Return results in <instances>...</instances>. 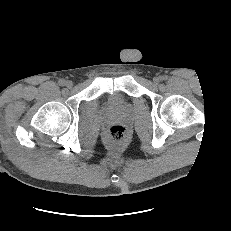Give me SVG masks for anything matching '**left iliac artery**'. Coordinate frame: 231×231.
Instances as JSON below:
<instances>
[{"label": "left iliac artery", "mask_w": 231, "mask_h": 231, "mask_svg": "<svg viewBox=\"0 0 231 231\" xmlns=\"http://www.w3.org/2000/svg\"><path fill=\"white\" fill-rule=\"evenodd\" d=\"M166 79H167V76H163V77H162V80H166Z\"/></svg>", "instance_id": "44dca946"}]
</instances>
